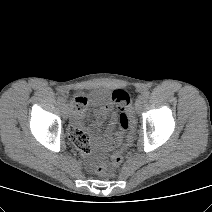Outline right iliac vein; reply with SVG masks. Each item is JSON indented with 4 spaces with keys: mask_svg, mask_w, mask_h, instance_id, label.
Here are the masks:
<instances>
[{
    "mask_svg": "<svg viewBox=\"0 0 212 212\" xmlns=\"http://www.w3.org/2000/svg\"><path fill=\"white\" fill-rule=\"evenodd\" d=\"M62 110L65 118H68L70 115V110L65 102L62 104Z\"/></svg>",
    "mask_w": 212,
    "mask_h": 212,
    "instance_id": "1",
    "label": "right iliac vein"
}]
</instances>
